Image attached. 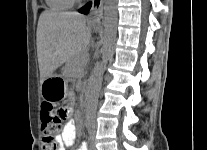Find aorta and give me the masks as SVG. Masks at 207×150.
Wrapping results in <instances>:
<instances>
[{
  "label": "aorta",
  "mask_w": 207,
  "mask_h": 150,
  "mask_svg": "<svg viewBox=\"0 0 207 150\" xmlns=\"http://www.w3.org/2000/svg\"><path fill=\"white\" fill-rule=\"evenodd\" d=\"M117 34V0H104V35L102 46V61L95 70V79L90 93L89 107L94 111L98 104L106 63L112 56Z\"/></svg>",
  "instance_id": "762f6f07"
}]
</instances>
